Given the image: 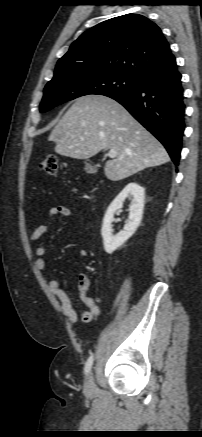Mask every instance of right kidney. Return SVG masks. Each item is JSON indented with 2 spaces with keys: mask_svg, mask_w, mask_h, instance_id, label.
<instances>
[{
  "mask_svg": "<svg viewBox=\"0 0 202 437\" xmlns=\"http://www.w3.org/2000/svg\"><path fill=\"white\" fill-rule=\"evenodd\" d=\"M126 198H132L129 207V218L124 229L117 235H113L112 222L115 212L122 208ZM145 189L135 182L129 183L113 200L108 207L102 224L101 235L103 238L104 249L108 254H112L121 247L130 237L133 236L139 227L144 209Z\"/></svg>",
  "mask_w": 202,
  "mask_h": 437,
  "instance_id": "ca27d5eb",
  "label": "right kidney"
}]
</instances>
